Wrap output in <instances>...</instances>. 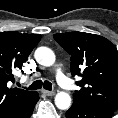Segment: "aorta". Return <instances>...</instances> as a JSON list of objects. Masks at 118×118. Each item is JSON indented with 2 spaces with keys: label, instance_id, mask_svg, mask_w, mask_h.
<instances>
[{
  "label": "aorta",
  "instance_id": "obj_1",
  "mask_svg": "<svg viewBox=\"0 0 118 118\" xmlns=\"http://www.w3.org/2000/svg\"><path fill=\"white\" fill-rule=\"evenodd\" d=\"M37 63L43 66H52L55 63V54L48 47H39L34 53ZM55 105L60 110H67L71 106V97L67 92L60 91L55 96Z\"/></svg>",
  "mask_w": 118,
  "mask_h": 118
}]
</instances>
